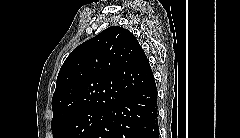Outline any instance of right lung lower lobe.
I'll list each match as a JSON object with an SVG mask.
<instances>
[{"label": "right lung lower lobe", "instance_id": "right-lung-lower-lobe-1", "mask_svg": "<svg viewBox=\"0 0 240 138\" xmlns=\"http://www.w3.org/2000/svg\"><path fill=\"white\" fill-rule=\"evenodd\" d=\"M157 88L153 79L108 108L89 138H158Z\"/></svg>", "mask_w": 240, "mask_h": 138}]
</instances>
